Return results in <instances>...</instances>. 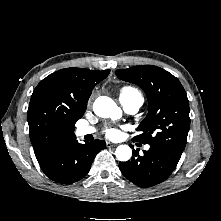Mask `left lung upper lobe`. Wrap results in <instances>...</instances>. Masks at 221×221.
<instances>
[{"instance_id": "1", "label": "left lung upper lobe", "mask_w": 221, "mask_h": 221, "mask_svg": "<svg viewBox=\"0 0 221 221\" xmlns=\"http://www.w3.org/2000/svg\"><path fill=\"white\" fill-rule=\"evenodd\" d=\"M121 80L141 87L148 99V114L138 127L136 141L165 147L182 154L190 125L189 101L180 81L153 65L118 69Z\"/></svg>"}]
</instances>
